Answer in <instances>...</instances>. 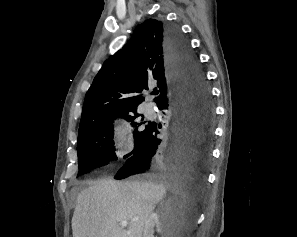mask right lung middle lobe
Returning <instances> with one entry per match:
<instances>
[{
    "mask_svg": "<svg viewBox=\"0 0 297 237\" xmlns=\"http://www.w3.org/2000/svg\"><path fill=\"white\" fill-rule=\"evenodd\" d=\"M120 115L121 118L131 121L132 127L135 128L134 149H136L146 137L151 124H148L145 129H141V125L145 122H143V119H137V117L140 116V114H137V112ZM118 116L119 115H115L100 121L88 127L80 135H78V176L84 174L94 167L103 166L107 164V162L117 159V156L114 152V142L112 140L114 135L112 122ZM130 154L125 155L124 158H127Z\"/></svg>",
    "mask_w": 297,
    "mask_h": 237,
    "instance_id": "dd1d6c3e",
    "label": "right lung middle lobe"
}]
</instances>
